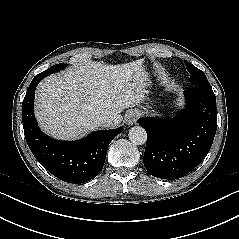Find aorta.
<instances>
[{
  "instance_id": "aorta-1",
  "label": "aorta",
  "mask_w": 239,
  "mask_h": 239,
  "mask_svg": "<svg viewBox=\"0 0 239 239\" xmlns=\"http://www.w3.org/2000/svg\"><path fill=\"white\" fill-rule=\"evenodd\" d=\"M129 140L135 145H143L147 140V133L141 126H134L129 130Z\"/></svg>"
}]
</instances>
